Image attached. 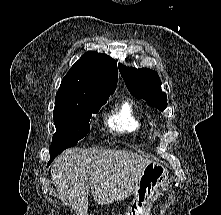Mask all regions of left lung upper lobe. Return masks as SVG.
<instances>
[{
  "label": "left lung upper lobe",
  "instance_id": "left-lung-upper-lobe-1",
  "mask_svg": "<svg viewBox=\"0 0 221 215\" xmlns=\"http://www.w3.org/2000/svg\"><path fill=\"white\" fill-rule=\"evenodd\" d=\"M119 71L133 96L144 99L150 106L161 111L167 107V97L161 91L157 72L147 68H127L122 64H119Z\"/></svg>",
  "mask_w": 221,
  "mask_h": 215
}]
</instances>
